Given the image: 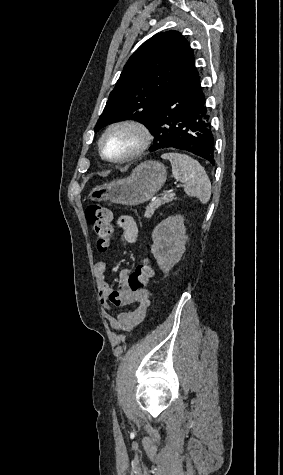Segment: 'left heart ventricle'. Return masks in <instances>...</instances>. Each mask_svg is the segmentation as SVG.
Masks as SVG:
<instances>
[{
    "mask_svg": "<svg viewBox=\"0 0 283 475\" xmlns=\"http://www.w3.org/2000/svg\"><path fill=\"white\" fill-rule=\"evenodd\" d=\"M138 137V133L133 129H119L104 140V153L108 157L122 156L134 147Z\"/></svg>",
    "mask_w": 283,
    "mask_h": 475,
    "instance_id": "obj_1",
    "label": "left heart ventricle"
}]
</instances>
